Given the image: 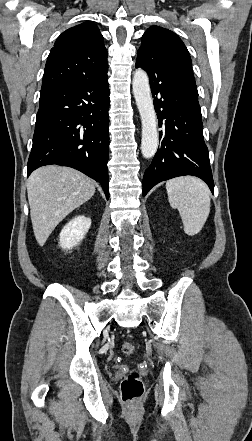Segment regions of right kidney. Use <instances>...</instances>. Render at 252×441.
Returning <instances> with one entry per match:
<instances>
[{
	"label": "right kidney",
	"mask_w": 252,
	"mask_h": 441,
	"mask_svg": "<svg viewBox=\"0 0 252 441\" xmlns=\"http://www.w3.org/2000/svg\"><path fill=\"white\" fill-rule=\"evenodd\" d=\"M91 226V219L79 215L71 219L61 230L59 235L60 246L70 250L77 246L87 234Z\"/></svg>",
	"instance_id": "right-kidney-1"
}]
</instances>
